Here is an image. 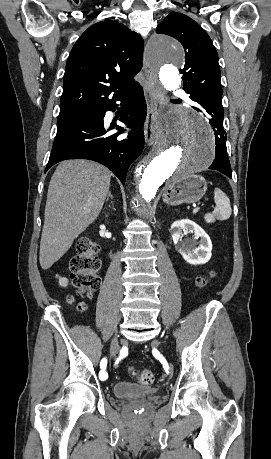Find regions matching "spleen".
I'll return each instance as SVG.
<instances>
[{
	"label": "spleen",
	"mask_w": 271,
	"mask_h": 459,
	"mask_svg": "<svg viewBox=\"0 0 271 459\" xmlns=\"http://www.w3.org/2000/svg\"><path fill=\"white\" fill-rule=\"evenodd\" d=\"M214 202L216 204V208L211 218H207V222H215V220H228L232 212L230 200L227 198L226 194L222 192V190H219V188H215L214 190Z\"/></svg>",
	"instance_id": "obj_1"
}]
</instances>
